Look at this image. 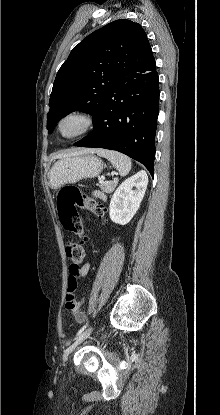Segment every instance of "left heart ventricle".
<instances>
[{
    "mask_svg": "<svg viewBox=\"0 0 220 415\" xmlns=\"http://www.w3.org/2000/svg\"><path fill=\"white\" fill-rule=\"evenodd\" d=\"M79 129V123L76 120H68L62 126V133L64 135H71Z\"/></svg>",
    "mask_w": 220,
    "mask_h": 415,
    "instance_id": "b2bd125f",
    "label": "left heart ventricle"
}]
</instances>
